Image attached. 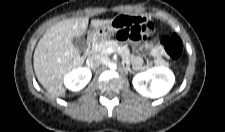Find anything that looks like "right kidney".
Instances as JSON below:
<instances>
[{
    "mask_svg": "<svg viewBox=\"0 0 225 132\" xmlns=\"http://www.w3.org/2000/svg\"><path fill=\"white\" fill-rule=\"evenodd\" d=\"M91 77L90 69L78 68L65 76L64 84L71 91H79L89 83Z\"/></svg>",
    "mask_w": 225,
    "mask_h": 132,
    "instance_id": "ca27d5eb",
    "label": "right kidney"
}]
</instances>
